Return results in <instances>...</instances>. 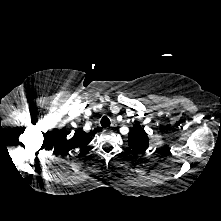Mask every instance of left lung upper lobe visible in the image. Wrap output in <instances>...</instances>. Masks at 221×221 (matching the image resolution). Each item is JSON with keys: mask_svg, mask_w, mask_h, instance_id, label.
Instances as JSON below:
<instances>
[{"mask_svg": "<svg viewBox=\"0 0 221 221\" xmlns=\"http://www.w3.org/2000/svg\"><path fill=\"white\" fill-rule=\"evenodd\" d=\"M149 139L143 128L136 123L128 135V144L134 152H144L149 146Z\"/></svg>", "mask_w": 221, "mask_h": 221, "instance_id": "1", "label": "left lung upper lobe"}]
</instances>
